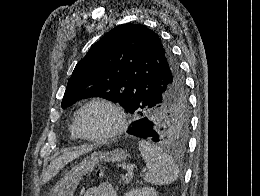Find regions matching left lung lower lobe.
<instances>
[{"label": "left lung lower lobe", "instance_id": "obj_1", "mask_svg": "<svg viewBox=\"0 0 260 196\" xmlns=\"http://www.w3.org/2000/svg\"><path fill=\"white\" fill-rule=\"evenodd\" d=\"M127 133L140 138L149 139L154 142L159 141V135L154 130L153 123L146 118L135 121Z\"/></svg>", "mask_w": 260, "mask_h": 196}]
</instances>
